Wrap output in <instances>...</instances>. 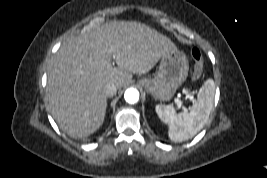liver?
<instances>
[{"label": "liver", "instance_id": "liver-1", "mask_svg": "<svg viewBox=\"0 0 267 178\" xmlns=\"http://www.w3.org/2000/svg\"><path fill=\"white\" fill-rule=\"evenodd\" d=\"M172 49L169 38L139 22L112 21L69 39L48 69L52 117L71 137H88L104 122L105 86L122 88L132 74H146Z\"/></svg>", "mask_w": 267, "mask_h": 178}]
</instances>
